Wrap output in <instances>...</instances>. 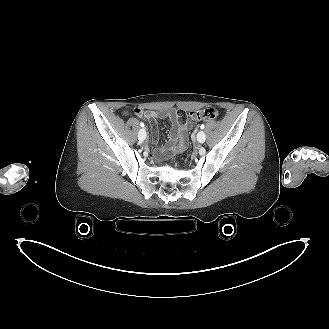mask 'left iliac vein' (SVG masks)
Returning a JSON list of instances; mask_svg holds the SVG:
<instances>
[{
    "mask_svg": "<svg viewBox=\"0 0 329 329\" xmlns=\"http://www.w3.org/2000/svg\"><path fill=\"white\" fill-rule=\"evenodd\" d=\"M206 140V134L203 131H199L197 134V141L199 143H204Z\"/></svg>",
    "mask_w": 329,
    "mask_h": 329,
    "instance_id": "4c4485c4",
    "label": "left iliac vein"
}]
</instances>
